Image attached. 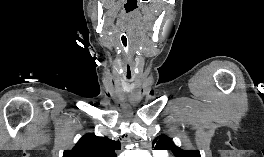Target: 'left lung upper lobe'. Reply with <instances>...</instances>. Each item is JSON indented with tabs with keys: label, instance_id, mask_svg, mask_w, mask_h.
<instances>
[{
	"label": "left lung upper lobe",
	"instance_id": "left-lung-upper-lobe-1",
	"mask_svg": "<svg viewBox=\"0 0 264 157\" xmlns=\"http://www.w3.org/2000/svg\"><path fill=\"white\" fill-rule=\"evenodd\" d=\"M155 149L172 150L177 157H201L198 150H183L175 146L172 139L165 135L159 137Z\"/></svg>",
	"mask_w": 264,
	"mask_h": 157
}]
</instances>
